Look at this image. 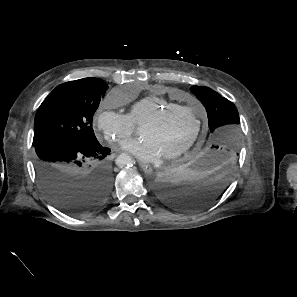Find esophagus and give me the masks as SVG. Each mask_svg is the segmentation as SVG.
Masks as SVG:
<instances>
[{"mask_svg":"<svg viewBox=\"0 0 297 297\" xmlns=\"http://www.w3.org/2000/svg\"><path fill=\"white\" fill-rule=\"evenodd\" d=\"M139 165L145 173H147V174L152 173L153 169L151 168L150 165L145 164V163H139Z\"/></svg>","mask_w":297,"mask_h":297,"instance_id":"34e87169","label":"esophagus"}]
</instances>
